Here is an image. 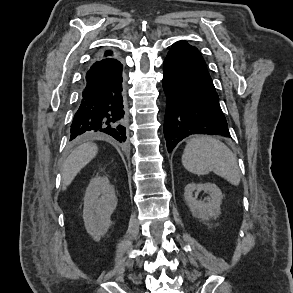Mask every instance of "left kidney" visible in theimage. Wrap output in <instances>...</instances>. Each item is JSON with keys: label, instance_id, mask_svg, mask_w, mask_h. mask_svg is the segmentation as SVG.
Returning a JSON list of instances; mask_svg holds the SVG:
<instances>
[{"label": "left kidney", "instance_id": "1", "mask_svg": "<svg viewBox=\"0 0 293 293\" xmlns=\"http://www.w3.org/2000/svg\"><path fill=\"white\" fill-rule=\"evenodd\" d=\"M204 191L209 197L198 200V193ZM184 198L192 215L201 220L216 219L220 214L223 195L213 183H189L184 188Z\"/></svg>", "mask_w": 293, "mask_h": 293}]
</instances>
